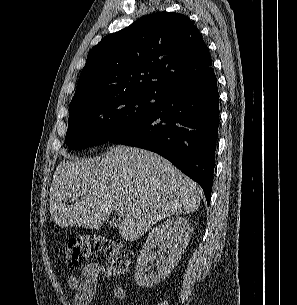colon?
Returning a JSON list of instances; mask_svg holds the SVG:
<instances>
[{"mask_svg":"<svg viewBox=\"0 0 297 305\" xmlns=\"http://www.w3.org/2000/svg\"><path fill=\"white\" fill-rule=\"evenodd\" d=\"M94 251H103L113 275L124 276L130 271L132 253L122 243L94 233L82 234L68 241L65 251L68 267L81 268L91 259Z\"/></svg>","mask_w":297,"mask_h":305,"instance_id":"5ec220e1","label":"colon"}]
</instances>
